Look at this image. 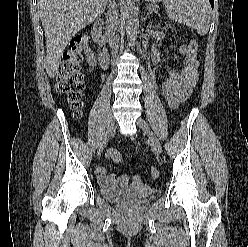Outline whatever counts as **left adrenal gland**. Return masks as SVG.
Listing matches in <instances>:
<instances>
[{
    "mask_svg": "<svg viewBox=\"0 0 248 247\" xmlns=\"http://www.w3.org/2000/svg\"><path fill=\"white\" fill-rule=\"evenodd\" d=\"M153 12L157 13L155 8H152L151 6H147L146 7V17H148L150 14H152Z\"/></svg>",
    "mask_w": 248,
    "mask_h": 247,
    "instance_id": "obj_1",
    "label": "left adrenal gland"
}]
</instances>
